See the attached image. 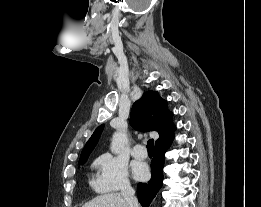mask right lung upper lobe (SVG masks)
<instances>
[{
  "instance_id": "obj_1",
  "label": "right lung upper lobe",
  "mask_w": 261,
  "mask_h": 207,
  "mask_svg": "<svg viewBox=\"0 0 261 207\" xmlns=\"http://www.w3.org/2000/svg\"><path fill=\"white\" fill-rule=\"evenodd\" d=\"M172 116V112L167 108V101L162 99L157 92L149 90L133 104L130 124L139 131L158 132L159 138L156 140V145L164 144L174 138L176 126L173 124ZM102 130L103 125L94 131L87 141L80 159L90 155L98 142Z\"/></svg>"
}]
</instances>
